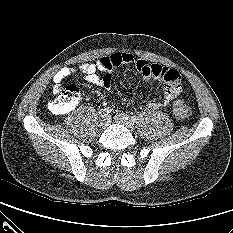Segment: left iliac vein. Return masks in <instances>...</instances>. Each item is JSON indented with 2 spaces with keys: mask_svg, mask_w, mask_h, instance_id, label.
<instances>
[{
  "mask_svg": "<svg viewBox=\"0 0 233 233\" xmlns=\"http://www.w3.org/2000/svg\"><path fill=\"white\" fill-rule=\"evenodd\" d=\"M114 119L117 123L124 125L129 130H133L134 122L132 121V119L128 115H126L124 113H119V114L115 115Z\"/></svg>",
  "mask_w": 233,
  "mask_h": 233,
  "instance_id": "1",
  "label": "left iliac vein"
}]
</instances>
